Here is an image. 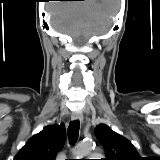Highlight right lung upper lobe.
I'll return each instance as SVG.
<instances>
[{"mask_svg": "<svg viewBox=\"0 0 160 160\" xmlns=\"http://www.w3.org/2000/svg\"><path fill=\"white\" fill-rule=\"evenodd\" d=\"M63 125H50L31 137L13 160H55L65 142Z\"/></svg>", "mask_w": 160, "mask_h": 160, "instance_id": "cb5924a9", "label": "right lung upper lobe"}]
</instances>
